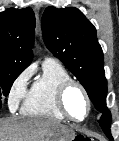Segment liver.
I'll return each mask as SVG.
<instances>
[{
	"instance_id": "liver-1",
	"label": "liver",
	"mask_w": 119,
	"mask_h": 141,
	"mask_svg": "<svg viewBox=\"0 0 119 141\" xmlns=\"http://www.w3.org/2000/svg\"><path fill=\"white\" fill-rule=\"evenodd\" d=\"M63 127L45 118H8L0 120V141H43L54 130Z\"/></svg>"
}]
</instances>
